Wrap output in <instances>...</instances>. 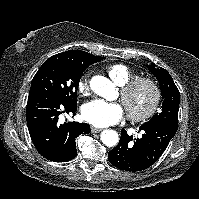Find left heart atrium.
Segmentation results:
<instances>
[{"label":"left heart atrium","mask_w":199,"mask_h":199,"mask_svg":"<svg viewBox=\"0 0 199 199\" xmlns=\"http://www.w3.org/2000/svg\"><path fill=\"white\" fill-rule=\"evenodd\" d=\"M81 112L85 121L98 127L115 124L124 116L122 104L109 103L101 99H95L84 104Z\"/></svg>","instance_id":"left-heart-atrium-1"}]
</instances>
